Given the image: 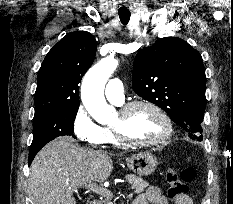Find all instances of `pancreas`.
<instances>
[{
  "label": "pancreas",
  "instance_id": "obj_1",
  "mask_svg": "<svg viewBox=\"0 0 233 204\" xmlns=\"http://www.w3.org/2000/svg\"><path fill=\"white\" fill-rule=\"evenodd\" d=\"M125 179L129 181V183L131 184V188L134 190V193L136 194L142 193L145 190V188L149 186L148 182L136 175H126ZM110 200L111 197H107V199L101 204H113Z\"/></svg>",
  "mask_w": 233,
  "mask_h": 204
}]
</instances>
